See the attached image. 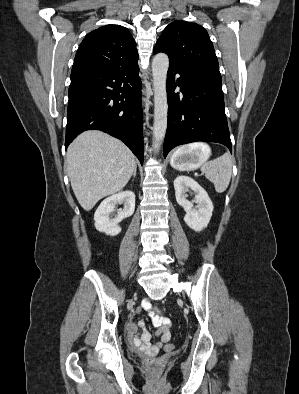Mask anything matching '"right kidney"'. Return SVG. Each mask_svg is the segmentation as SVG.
I'll return each mask as SVG.
<instances>
[{"label":"right kidney","instance_id":"right-kidney-1","mask_svg":"<svg viewBox=\"0 0 299 394\" xmlns=\"http://www.w3.org/2000/svg\"><path fill=\"white\" fill-rule=\"evenodd\" d=\"M116 204H123L115 218L111 213ZM135 210V194L132 191H122L104 199L94 214L95 228L106 235L115 236L121 232L118 225L123 219L130 217Z\"/></svg>","mask_w":299,"mask_h":394}]
</instances>
